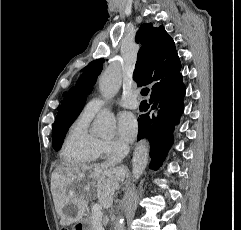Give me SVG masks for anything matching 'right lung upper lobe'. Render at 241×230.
<instances>
[{"label": "right lung upper lobe", "mask_w": 241, "mask_h": 230, "mask_svg": "<svg viewBox=\"0 0 241 230\" xmlns=\"http://www.w3.org/2000/svg\"><path fill=\"white\" fill-rule=\"evenodd\" d=\"M136 42L143 44L133 74L138 86H154L181 67L175 43L163 26L156 28L151 23L141 25L136 34ZM99 62L104 60L93 61L89 66Z\"/></svg>", "instance_id": "right-lung-upper-lobe-1"}]
</instances>
